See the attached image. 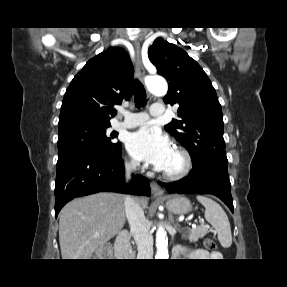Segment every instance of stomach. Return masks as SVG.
<instances>
[{
	"mask_svg": "<svg viewBox=\"0 0 287 287\" xmlns=\"http://www.w3.org/2000/svg\"><path fill=\"white\" fill-rule=\"evenodd\" d=\"M166 199V207L173 214L183 215L192 208L190 201L184 196H170Z\"/></svg>",
	"mask_w": 287,
	"mask_h": 287,
	"instance_id": "obj_1",
	"label": "stomach"
}]
</instances>
